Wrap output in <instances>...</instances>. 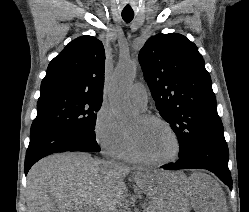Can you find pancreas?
<instances>
[{"label":"pancreas","mask_w":249,"mask_h":212,"mask_svg":"<svg viewBox=\"0 0 249 212\" xmlns=\"http://www.w3.org/2000/svg\"><path fill=\"white\" fill-rule=\"evenodd\" d=\"M144 212H160L159 206H155V204H150L148 208H145Z\"/></svg>","instance_id":"cf45deb5"}]
</instances>
